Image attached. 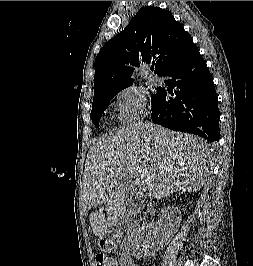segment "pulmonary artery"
Here are the masks:
<instances>
[{
	"label": "pulmonary artery",
	"mask_w": 253,
	"mask_h": 266,
	"mask_svg": "<svg viewBox=\"0 0 253 266\" xmlns=\"http://www.w3.org/2000/svg\"><path fill=\"white\" fill-rule=\"evenodd\" d=\"M152 80L155 84H161L162 83V79L156 75L152 76Z\"/></svg>",
	"instance_id": "1"
}]
</instances>
